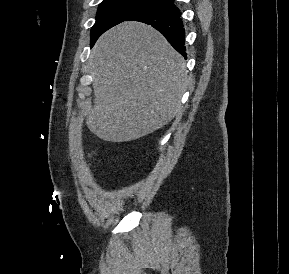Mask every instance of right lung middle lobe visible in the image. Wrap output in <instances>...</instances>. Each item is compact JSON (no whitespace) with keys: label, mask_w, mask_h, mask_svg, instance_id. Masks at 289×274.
I'll list each match as a JSON object with an SVG mask.
<instances>
[{"label":"right lung middle lobe","mask_w":289,"mask_h":274,"mask_svg":"<svg viewBox=\"0 0 289 274\" xmlns=\"http://www.w3.org/2000/svg\"><path fill=\"white\" fill-rule=\"evenodd\" d=\"M163 2L162 0H103L91 29V46L101 34L132 16Z\"/></svg>","instance_id":"1"}]
</instances>
